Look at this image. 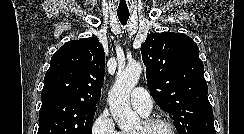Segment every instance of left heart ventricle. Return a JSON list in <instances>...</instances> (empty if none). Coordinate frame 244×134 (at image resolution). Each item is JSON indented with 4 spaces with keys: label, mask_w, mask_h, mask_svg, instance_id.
<instances>
[{
    "label": "left heart ventricle",
    "mask_w": 244,
    "mask_h": 134,
    "mask_svg": "<svg viewBox=\"0 0 244 134\" xmlns=\"http://www.w3.org/2000/svg\"><path fill=\"white\" fill-rule=\"evenodd\" d=\"M134 134H171V132L165 126H155L146 130L143 124H140Z\"/></svg>",
    "instance_id": "b2bd125f"
}]
</instances>
